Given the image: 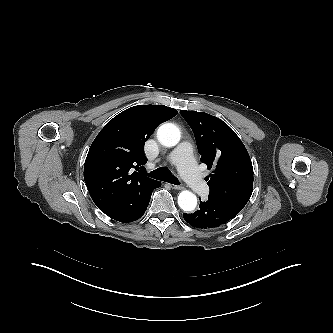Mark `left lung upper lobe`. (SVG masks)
<instances>
[{"mask_svg": "<svg viewBox=\"0 0 333 333\" xmlns=\"http://www.w3.org/2000/svg\"><path fill=\"white\" fill-rule=\"evenodd\" d=\"M180 113L194 132L201 162L213 169L206 177L209 196L239 213L253 192V167L244 144L215 116L186 110Z\"/></svg>", "mask_w": 333, "mask_h": 333, "instance_id": "1", "label": "left lung upper lobe"}]
</instances>
